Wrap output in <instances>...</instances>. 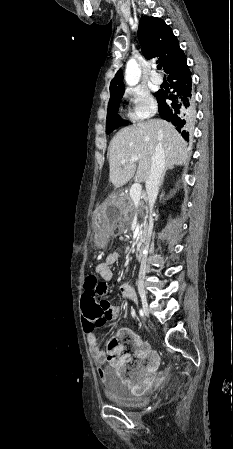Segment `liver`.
Listing matches in <instances>:
<instances>
[{
    "instance_id": "liver-1",
    "label": "liver",
    "mask_w": 233,
    "mask_h": 449,
    "mask_svg": "<svg viewBox=\"0 0 233 449\" xmlns=\"http://www.w3.org/2000/svg\"><path fill=\"white\" fill-rule=\"evenodd\" d=\"M161 143L168 167L185 164L190 158L191 147L183 140L175 127L161 119L139 122L121 129L108 148L110 182L116 187L126 184L134 175L135 180H147L155 147ZM131 155L139 157L138 168ZM125 160L122 164L121 161ZM137 169V170H136Z\"/></svg>"
}]
</instances>
